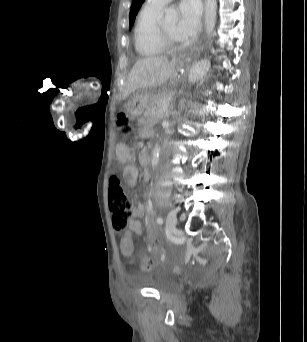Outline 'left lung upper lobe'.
<instances>
[{"mask_svg":"<svg viewBox=\"0 0 307 342\" xmlns=\"http://www.w3.org/2000/svg\"><path fill=\"white\" fill-rule=\"evenodd\" d=\"M144 1L145 0H133L129 14L130 28L132 27L135 17Z\"/></svg>","mask_w":307,"mask_h":342,"instance_id":"obj_1","label":"left lung upper lobe"}]
</instances>
